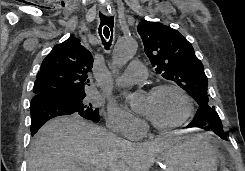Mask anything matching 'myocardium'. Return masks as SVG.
<instances>
[{
	"label": "myocardium",
	"mask_w": 245,
	"mask_h": 171,
	"mask_svg": "<svg viewBox=\"0 0 245 171\" xmlns=\"http://www.w3.org/2000/svg\"><path fill=\"white\" fill-rule=\"evenodd\" d=\"M168 89L175 90L182 95V97L184 98L186 102V111L178 121L172 124H168V125H160L149 119L150 125L158 131H170V130H173V129H176L182 126L184 123L188 121V119L192 116L193 111H194V104H193L192 97L189 95V93L184 88H182L181 86L177 84L163 83V84L156 85L149 90L148 94L153 95V94H156L158 92L168 90Z\"/></svg>",
	"instance_id": "f54148a6"
}]
</instances>
